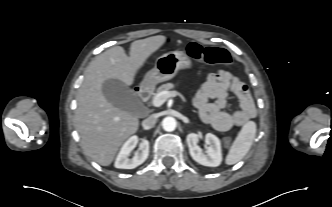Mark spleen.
I'll return each instance as SVG.
<instances>
[{
    "label": "spleen",
    "mask_w": 332,
    "mask_h": 207,
    "mask_svg": "<svg viewBox=\"0 0 332 207\" xmlns=\"http://www.w3.org/2000/svg\"><path fill=\"white\" fill-rule=\"evenodd\" d=\"M256 135V123L247 122L234 140L228 155L226 156V164L233 165L239 162L250 150Z\"/></svg>",
    "instance_id": "spleen-1"
}]
</instances>
